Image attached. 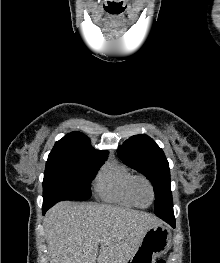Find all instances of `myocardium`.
I'll use <instances>...</instances> for the list:
<instances>
[{"label": "myocardium", "mask_w": 220, "mask_h": 263, "mask_svg": "<svg viewBox=\"0 0 220 263\" xmlns=\"http://www.w3.org/2000/svg\"><path fill=\"white\" fill-rule=\"evenodd\" d=\"M143 182L144 184L147 185V187L150 190L151 193V200L147 205H141L138 200H137V196H136V187L138 185V183ZM130 194H131V198L133 200V202L135 203L136 206L141 207V208H145L148 207L152 204V202L154 201L155 198V191H154V187L152 185V182L145 176L143 175H135L134 178L131 181V185H130Z\"/></svg>", "instance_id": "1"}]
</instances>
